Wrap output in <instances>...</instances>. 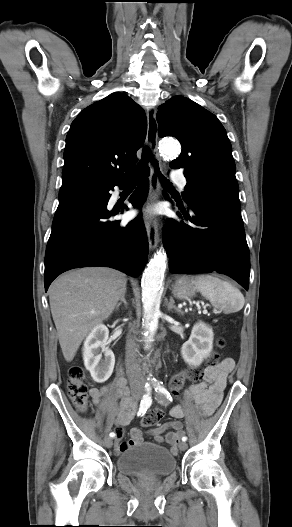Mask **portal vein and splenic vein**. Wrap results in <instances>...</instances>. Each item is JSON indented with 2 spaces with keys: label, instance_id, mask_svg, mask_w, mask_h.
Listing matches in <instances>:
<instances>
[{
  "label": "portal vein and splenic vein",
  "instance_id": "1",
  "mask_svg": "<svg viewBox=\"0 0 292 527\" xmlns=\"http://www.w3.org/2000/svg\"><path fill=\"white\" fill-rule=\"evenodd\" d=\"M204 313H207V311H206V310H204Z\"/></svg>",
  "mask_w": 292,
  "mask_h": 527
}]
</instances>
